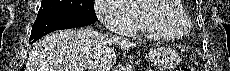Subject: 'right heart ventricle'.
I'll list each match as a JSON object with an SVG mask.
<instances>
[{
	"instance_id": "right-heart-ventricle-1",
	"label": "right heart ventricle",
	"mask_w": 230,
	"mask_h": 71,
	"mask_svg": "<svg viewBox=\"0 0 230 71\" xmlns=\"http://www.w3.org/2000/svg\"><path fill=\"white\" fill-rule=\"evenodd\" d=\"M175 8L182 11L183 7L181 2L176 3ZM131 13L135 18V24L132 29H127V35L135 36V35H146L152 38H164V39H173L168 38L165 35L157 32L145 18V12L142 6H130Z\"/></svg>"
}]
</instances>
